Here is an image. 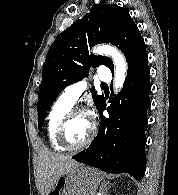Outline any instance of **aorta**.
I'll return each instance as SVG.
<instances>
[{
	"mask_svg": "<svg viewBox=\"0 0 178 195\" xmlns=\"http://www.w3.org/2000/svg\"><path fill=\"white\" fill-rule=\"evenodd\" d=\"M93 51L96 54L110 56L113 59L115 65L114 91L119 92L123 87L127 72V63L124 56L118 49L110 45H99Z\"/></svg>",
	"mask_w": 178,
	"mask_h": 195,
	"instance_id": "1",
	"label": "aorta"
}]
</instances>
